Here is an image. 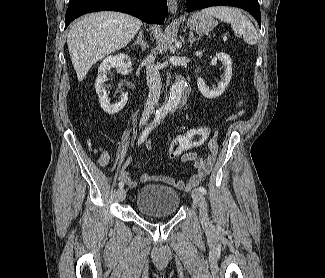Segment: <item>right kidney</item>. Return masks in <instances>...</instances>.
<instances>
[{
  "label": "right kidney",
  "instance_id": "right-kidney-1",
  "mask_svg": "<svg viewBox=\"0 0 325 278\" xmlns=\"http://www.w3.org/2000/svg\"><path fill=\"white\" fill-rule=\"evenodd\" d=\"M131 66L132 63L130 57L124 53L107 56L102 61L98 69V77L95 83V90L98 94L101 108L106 113L111 115L118 113L125 107L128 101V93H123L117 103H110V99L108 98V94L104 86V82L107 80V73L110 71L111 68L127 69Z\"/></svg>",
  "mask_w": 325,
  "mask_h": 278
}]
</instances>
